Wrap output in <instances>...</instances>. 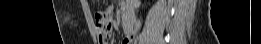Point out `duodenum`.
Here are the masks:
<instances>
[{
    "instance_id": "410a0bca",
    "label": "duodenum",
    "mask_w": 261,
    "mask_h": 44,
    "mask_svg": "<svg viewBox=\"0 0 261 44\" xmlns=\"http://www.w3.org/2000/svg\"><path fill=\"white\" fill-rule=\"evenodd\" d=\"M134 23H135L134 18H132L131 16L122 15V27L126 35H130L132 33Z\"/></svg>"
}]
</instances>
